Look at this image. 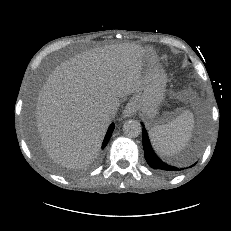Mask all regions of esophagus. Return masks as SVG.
I'll use <instances>...</instances> for the list:
<instances>
[{"mask_svg":"<svg viewBox=\"0 0 231 231\" xmlns=\"http://www.w3.org/2000/svg\"><path fill=\"white\" fill-rule=\"evenodd\" d=\"M136 114V108H135V105L132 103V102H129L123 113H122V117L123 118H132L133 116H135Z\"/></svg>","mask_w":231,"mask_h":231,"instance_id":"esophagus-1","label":"esophagus"}]
</instances>
